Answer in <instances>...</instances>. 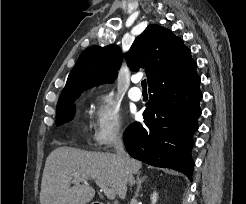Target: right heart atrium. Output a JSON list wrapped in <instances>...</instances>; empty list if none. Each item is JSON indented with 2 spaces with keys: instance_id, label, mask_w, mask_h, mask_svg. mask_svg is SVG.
<instances>
[{
  "instance_id": "obj_1",
  "label": "right heart atrium",
  "mask_w": 246,
  "mask_h": 204,
  "mask_svg": "<svg viewBox=\"0 0 246 204\" xmlns=\"http://www.w3.org/2000/svg\"><path fill=\"white\" fill-rule=\"evenodd\" d=\"M123 116L115 99L109 94L97 95L93 101L91 139L95 146L105 148L121 138Z\"/></svg>"
}]
</instances>
